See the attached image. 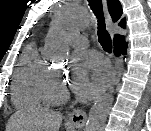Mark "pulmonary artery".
Segmentation results:
<instances>
[{
	"mask_svg": "<svg viewBox=\"0 0 151 131\" xmlns=\"http://www.w3.org/2000/svg\"><path fill=\"white\" fill-rule=\"evenodd\" d=\"M71 44L75 47H83L87 45V41L84 37L75 35L72 37Z\"/></svg>",
	"mask_w": 151,
	"mask_h": 131,
	"instance_id": "obj_1",
	"label": "pulmonary artery"
}]
</instances>
